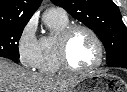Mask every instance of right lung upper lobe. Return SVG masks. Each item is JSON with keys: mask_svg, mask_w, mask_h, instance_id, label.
<instances>
[{"mask_svg": "<svg viewBox=\"0 0 127 92\" xmlns=\"http://www.w3.org/2000/svg\"><path fill=\"white\" fill-rule=\"evenodd\" d=\"M42 0H0V27L25 26Z\"/></svg>", "mask_w": 127, "mask_h": 92, "instance_id": "cb5924a9", "label": "right lung upper lobe"}]
</instances>
